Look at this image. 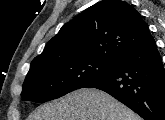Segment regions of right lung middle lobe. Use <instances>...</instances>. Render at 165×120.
Segmentation results:
<instances>
[{
  "label": "right lung middle lobe",
  "mask_w": 165,
  "mask_h": 120,
  "mask_svg": "<svg viewBox=\"0 0 165 120\" xmlns=\"http://www.w3.org/2000/svg\"><path fill=\"white\" fill-rule=\"evenodd\" d=\"M114 66L115 62L93 58L41 63L30 67L21 97L24 101L47 102L107 75Z\"/></svg>",
  "instance_id": "obj_1"
}]
</instances>
